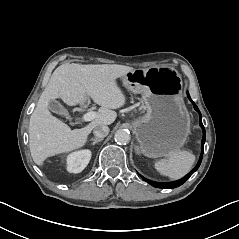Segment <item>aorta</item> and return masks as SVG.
<instances>
[{
    "mask_svg": "<svg viewBox=\"0 0 239 239\" xmlns=\"http://www.w3.org/2000/svg\"><path fill=\"white\" fill-rule=\"evenodd\" d=\"M114 139L117 143L127 144L130 142V132L126 129H118L114 135Z\"/></svg>",
    "mask_w": 239,
    "mask_h": 239,
    "instance_id": "obj_1",
    "label": "aorta"
}]
</instances>
